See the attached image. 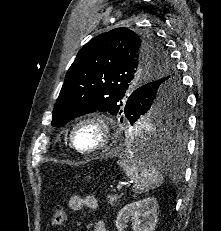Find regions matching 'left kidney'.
<instances>
[{
  "instance_id": "obj_1",
  "label": "left kidney",
  "mask_w": 221,
  "mask_h": 231,
  "mask_svg": "<svg viewBox=\"0 0 221 231\" xmlns=\"http://www.w3.org/2000/svg\"><path fill=\"white\" fill-rule=\"evenodd\" d=\"M157 209L158 204L154 197L127 204L117 215V230L124 231L126 223L130 220L133 231H154L158 222Z\"/></svg>"
}]
</instances>
